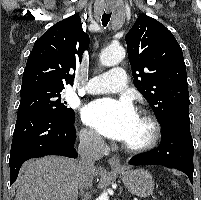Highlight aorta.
<instances>
[{
	"label": "aorta",
	"instance_id": "aorta-1",
	"mask_svg": "<svg viewBox=\"0 0 201 200\" xmlns=\"http://www.w3.org/2000/svg\"><path fill=\"white\" fill-rule=\"evenodd\" d=\"M125 57V49L121 46L108 47L100 54V62L104 66H115ZM96 200H109L107 192H103Z\"/></svg>",
	"mask_w": 201,
	"mask_h": 200
}]
</instances>
